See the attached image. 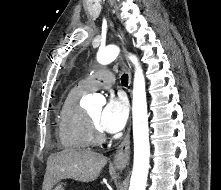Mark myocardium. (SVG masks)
<instances>
[{
    "mask_svg": "<svg viewBox=\"0 0 221 190\" xmlns=\"http://www.w3.org/2000/svg\"><path fill=\"white\" fill-rule=\"evenodd\" d=\"M86 119H87V128L89 132L90 143L93 144L102 143L105 140V135L99 129V127H97L96 124L93 122L89 113H86Z\"/></svg>",
    "mask_w": 221,
    "mask_h": 190,
    "instance_id": "f54148a6",
    "label": "myocardium"
}]
</instances>
